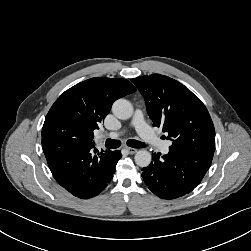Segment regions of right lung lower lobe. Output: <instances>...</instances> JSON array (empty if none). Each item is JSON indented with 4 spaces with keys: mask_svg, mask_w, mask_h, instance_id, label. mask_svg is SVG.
Listing matches in <instances>:
<instances>
[{
    "mask_svg": "<svg viewBox=\"0 0 251 251\" xmlns=\"http://www.w3.org/2000/svg\"><path fill=\"white\" fill-rule=\"evenodd\" d=\"M94 146H43L55 180L78 198L98 195L112 180L121 152H99ZM93 149V150H92Z\"/></svg>",
    "mask_w": 251,
    "mask_h": 251,
    "instance_id": "right-lung-lower-lobe-1",
    "label": "right lung lower lobe"
}]
</instances>
